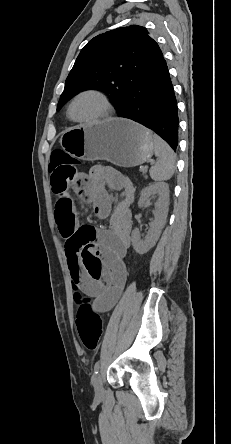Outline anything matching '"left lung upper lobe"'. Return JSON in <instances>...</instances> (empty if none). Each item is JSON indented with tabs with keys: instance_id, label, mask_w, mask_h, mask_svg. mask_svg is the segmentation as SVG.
Listing matches in <instances>:
<instances>
[{
	"instance_id": "left-lung-upper-lobe-1",
	"label": "left lung upper lobe",
	"mask_w": 231,
	"mask_h": 444,
	"mask_svg": "<svg viewBox=\"0 0 231 444\" xmlns=\"http://www.w3.org/2000/svg\"><path fill=\"white\" fill-rule=\"evenodd\" d=\"M160 48L141 26L117 28L90 40L70 71L57 110L83 90L110 94L119 112L127 103L138 75Z\"/></svg>"
}]
</instances>
